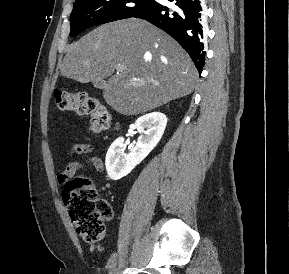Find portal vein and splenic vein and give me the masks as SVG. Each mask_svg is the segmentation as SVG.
<instances>
[{
	"label": "portal vein and splenic vein",
	"instance_id": "18ae733b",
	"mask_svg": "<svg viewBox=\"0 0 289 274\" xmlns=\"http://www.w3.org/2000/svg\"><path fill=\"white\" fill-rule=\"evenodd\" d=\"M117 70H118V71H121V70H123V67L120 66V67L117 68Z\"/></svg>",
	"mask_w": 289,
	"mask_h": 274
}]
</instances>
